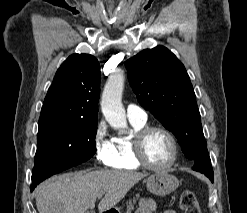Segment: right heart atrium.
<instances>
[{
	"label": "right heart atrium",
	"instance_id": "1",
	"mask_svg": "<svg viewBox=\"0 0 247 213\" xmlns=\"http://www.w3.org/2000/svg\"><path fill=\"white\" fill-rule=\"evenodd\" d=\"M93 147L97 161L104 166H111L114 158L113 138L104 121H100L95 128Z\"/></svg>",
	"mask_w": 247,
	"mask_h": 213
}]
</instances>
